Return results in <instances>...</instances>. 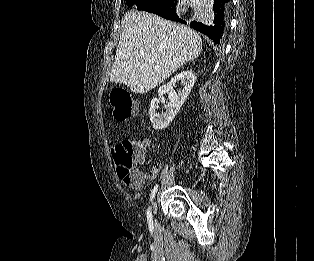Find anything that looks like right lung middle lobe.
I'll return each instance as SVG.
<instances>
[{
	"label": "right lung middle lobe",
	"mask_w": 314,
	"mask_h": 261,
	"mask_svg": "<svg viewBox=\"0 0 314 261\" xmlns=\"http://www.w3.org/2000/svg\"><path fill=\"white\" fill-rule=\"evenodd\" d=\"M163 0H126L128 6L136 5L138 10H147L159 3Z\"/></svg>",
	"instance_id": "1"
}]
</instances>
